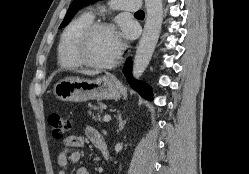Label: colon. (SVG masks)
I'll return each instance as SVG.
<instances>
[{"instance_id": "colon-1", "label": "colon", "mask_w": 249, "mask_h": 174, "mask_svg": "<svg viewBox=\"0 0 249 174\" xmlns=\"http://www.w3.org/2000/svg\"><path fill=\"white\" fill-rule=\"evenodd\" d=\"M48 124L51 128L52 135L57 139L63 138L71 129L70 120L58 112H51L49 114Z\"/></svg>"}]
</instances>
